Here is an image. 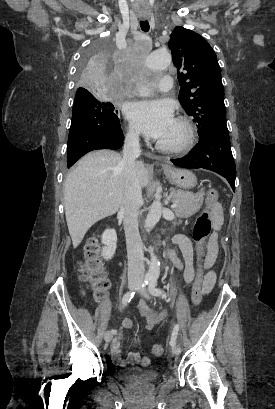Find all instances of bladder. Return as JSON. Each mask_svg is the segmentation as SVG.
Masks as SVG:
<instances>
[{
	"mask_svg": "<svg viewBox=\"0 0 275 409\" xmlns=\"http://www.w3.org/2000/svg\"><path fill=\"white\" fill-rule=\"evenodd\" d=\"M159 378L158 372L146 368H123L118 376L120 382L133 381L142 386H152Z\"/></svg>",
	"mask_w": 275,
	"mask_h": 409,
	"instance_id": "31cf9c89",
	"label": "bladder"
}]
</instances>
